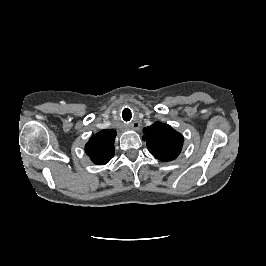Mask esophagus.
I'll return each instance as SVG.
<instances>
[{
    "instance_id": "obj_1",
    "label": "esophagus",
    "mask_w": 266,
    "mask_h": 266,
    "mask_svg": "<svg viewBox=\"0 0 266 266\" xmlns=\"http://www.w3.org/2000/svg\"><path fill=\"white\" fill-rule=\"evenodd\" d=\"M130 127L134 130H138L140 128V123L138 121H134L130 124Z\"/></svg>"
}]
</instances>
